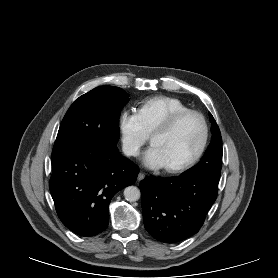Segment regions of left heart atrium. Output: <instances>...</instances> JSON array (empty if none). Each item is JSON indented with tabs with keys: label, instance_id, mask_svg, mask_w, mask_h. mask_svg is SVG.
<instances>
[{
	"label": "left heart atrium",
	"instance_id": "39dd6f15",
	"mask_svg": "<svg viewBox=\"0 0 278 278\" xmlns=\"http://www.w3.org/2000/svg\"><path fill=\"white\" fill-rule=\"evenodd\" d=\"M143 162L148 168L151 169H160L165 167L160 151L153 144L144 152Z\"/></svg>",
	"mask_w": 278,
	"mask_h": 278
}]
</instances>
